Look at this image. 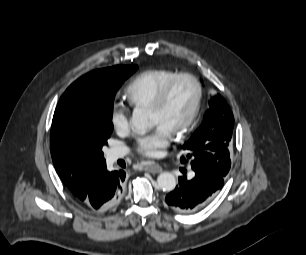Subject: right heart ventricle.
Here are the masks:
<instances>
[{"mask_svg":"<svg viewBox=\"0 0 306 255\" xmlns=\"http://www.w3.org/2000/svg\"><path fill=\"white\" fill-rule=\"evenodd\" d=\"M178 74L168 69L142 71L126 87L129 103L135 108H148L163 87Z\"/></svg>","mask_w":306,"mask_h":255,"instance_id":"e07e8e85","label":"right heart ventricle"}]
</instances>
